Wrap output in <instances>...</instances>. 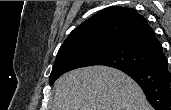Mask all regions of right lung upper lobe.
Masks as SVG:
<instances>
[{
  "label": "right lung upper lobe",
  "mask_w": 171,
  "mask_h": 110,
  "mask_svg": "<svg viewBox=\"0 0 171 110\" xmlns=\"http://www.w3.org/2000/svg\"><path fill=\"white\" fill-rule=\"evenodd\" d=\"M88 44L125 46L152 56L162 49L146 19L119 6L105 8L76 27L58 52Z\"/></svg>",
  "instance_id": "obj_1"
}]
</instances>
